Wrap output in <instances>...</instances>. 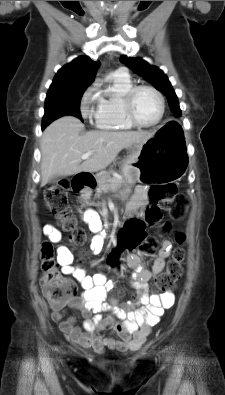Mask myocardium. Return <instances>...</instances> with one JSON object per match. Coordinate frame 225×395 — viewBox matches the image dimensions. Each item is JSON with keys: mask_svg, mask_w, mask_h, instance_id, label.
<instances>
[{"mask_svg": "<svg viewBox=\"0 0 225 395\" xmlns=\"http://www.w3.org/2000/svg\"><path fill=\"white\" fill-rule=\"evenodd\" d=\"M141 90H148L152 92L158 99L159 105H160V114L158 119L154 123L150 124H145L140 122L135 113H134V100L138 92ZM123 112L125 115V118L127 119L128 122H130L132 125L140 128H153L161 123L163 120L164 114H165V100L161 92L156 89L153 86L150 85H135L132 86L124 95L123 97Z\"/></svg>", "mask_w": 225, "mask_h": 395, "instance_id": "obj_1", "label": "myocardium"}]
</instances>
